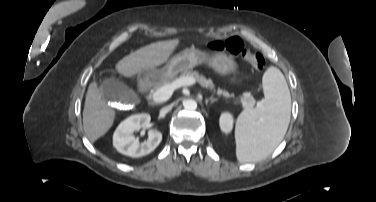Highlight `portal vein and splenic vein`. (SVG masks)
<instances>
[{"label":"portal vein and splenic vein","mask_w":376,"mask_h":202,"mask_svg":"<svg viewBox=\"0 0 376 202\" xmlns=\"http://www.w3.org/2000/svg\"><path fill=\"white\" fill-rule=\"evenodd\" d=\"M196 83L195 79L194 78H191V77H184V78H179L177 79L176 81H174L173 83L171 84H168V85H164L162 87H160L158 90H156L153 95H152V99L153 101L155 102H165L167 101L173 91L181 86H191V85H194ZM244 96L246 98L250 97V94L249 93H245Z\"/></svg>","instance_id":"1"}]
</instances>
